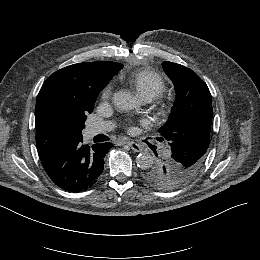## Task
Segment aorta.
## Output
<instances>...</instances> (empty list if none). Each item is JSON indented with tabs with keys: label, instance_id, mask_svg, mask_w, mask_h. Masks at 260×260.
<instances>
[{
	"label": "aorta",
	"instance_id": "762f6f07",
	"mask_svg": "<svg viewBox=\"0 0 260 260\" xmlns=\"http://www.w3.org/2000/svg\"><path fill=\"white\" fill-rule=\"evenodd\" d=\"M113 103L120 111H129L137 106V101L129 92L118 91L113 95ZM153 156L142 152L136 157L137 166L141 169L149 168L153 164Z\"/></svg>",
	"mask_w": 260,
	"mask_h": 260
}]
</instances>
